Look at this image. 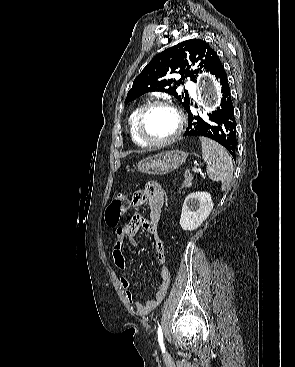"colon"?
<instances>
[{"label": "colon", "mask_w": 295, "mask_h": 367, "mask_svg": "<svg viewBox=\"0 0 295 367\" xmlns=\"http://www.w3.org/2000/svg\"><path fill=\"white\" fill-rule=\"evenodd\" d=\"M191 175L190 173H186L184 176V181H183V187H189L191 185ZM170 201H171V196L170 195H165L164 196V200L162 201L163 206V211L164 212H169L170 211ZM129 198L125 193H119L118 195L115 196V198L111 201V203L109 204V206L106 209L105 212V220L108 226L110 227H114L118 224L120 218L122 217V215L128 210L129 208Z\"/></svg>", "instance_id": "obj_1"}]
</instances>
